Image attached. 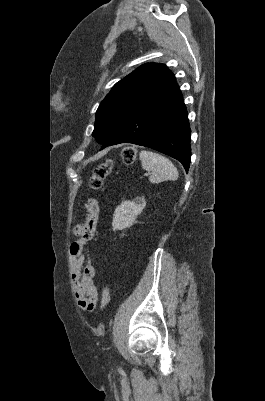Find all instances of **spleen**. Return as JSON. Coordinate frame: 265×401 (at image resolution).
<instances>
[{
	"mask_svg": "<svg viewBox=\"0 0 265 401\" xmlns=\"http://www.w3.org/2000/svg\"><path fill=\"white\" fill-rule=\"evenodd\" d=\"M142 168L151 170L150 182H163V180H177L179 172L173 162L151 150H141L139 154Z\"/></svg>",
	"mask_w": 265,
	"mask_h": 401,
	"instance_id": "spleen-1",
	"label": "spleen"
}]
</instances>
